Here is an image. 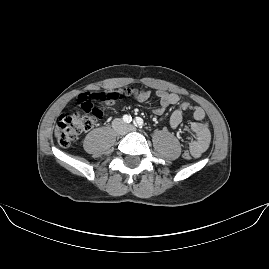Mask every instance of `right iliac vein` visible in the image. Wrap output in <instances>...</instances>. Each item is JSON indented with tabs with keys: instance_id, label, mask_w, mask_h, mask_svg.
I'll list each match as a JSON object with an SVG mask.
<instances>
[{
	"instance_id": "right-iliac-vein-1",
	"label": "right iliac vein",
	"mask_w": 269,
	"mask_h": 269,
	"mask_svg": "<svg viewBox=\"0 0 269 269\" xmlns=\"http://www.w3.org/2000/svg\"><path fill=\"white\" fill-rule=\"evenodd\" d=\"M118 134H123L122 132H118Z\"/></svg>"
}]
</instances>
